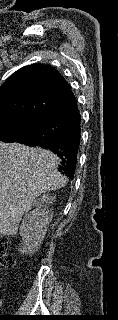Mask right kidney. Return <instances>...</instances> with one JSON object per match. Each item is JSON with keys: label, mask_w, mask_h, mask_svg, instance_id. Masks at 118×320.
<instances>
[{"label": "right kidney", "mask_w": 118, "mask_h": 320, "mask_svg": "<svg viewBox=\"0 0 118 320\" xmlns=\"http://www.w3.org/2000/svg\"><path fill=\"white\" fill-rule=\"evenodd\" d=\"M55 201V195L43 193L33 203L32 211L25 213L20 225L24 251H32L44 239L50 222L53 218L51 205Z\"/></svg>", "instance_id": "ca27d5eb"}]
</instances>
